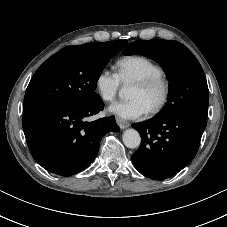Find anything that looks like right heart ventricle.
I'll return each instance as SVG.
<instances>
[{"instance_id": "obj_1", "label": "right heart ventricle", "mask_w": 227, "mask_h": 227, "mask_svg": "<svg viewBox=\"0 0 227 227\" xmlns=\"http://www.w3.org/2000/svg\"><path fill=\"white\" fill-rule=\"evenodd\" d=\"M117 75L121 82L129 83L163 74L162 67L145 56L133 55L116 62Z\"/></svg>"}]
</instances>
